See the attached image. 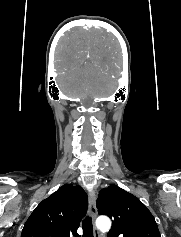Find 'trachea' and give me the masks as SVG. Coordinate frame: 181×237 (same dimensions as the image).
I'll return each mask as SVG.
<instances>
[{
  "mask_svg": "<svg viewBox=\"0 0 181 237\" xmlns=\"http://www.w3.org/2000/svg\"><path fill=\"white\" fill-rule=\"evenodd\" d=\"M83 237H93L92 220L87 216L82 222Z\"/></svg>",
  "mask_w": 181,
  "mask_h": 237,
  "instance_id": "obj_1",
  "label": "trachea"
}]
</instances>
